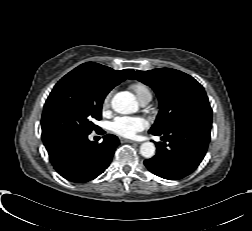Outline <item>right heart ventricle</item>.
I'll return each mask as SVG.
<instances>
[{"label": "right heart ventricle", "mask_w": 252, "mask_h": 231, "mask_svg": "<svg viewBox=\"0 0 252 231\" xmlns=\"http://www.w3.org/2000/svg\"><path fill=\"white\" fill-rule=\"evenodd\" d=\"M131 89L139 101L143 100L146 97H152L150 89L144 84H133L131 86Z\"/></svg>", "instance_id": "obj_1"}]
</instances>
